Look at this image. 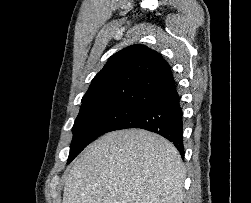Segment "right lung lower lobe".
I'll return each instance as SVG.
<instances>
[{
  "label": "right lung lower lobe",
  "instance_id": "98d812e1",
  "mask_svg": "<svg viewBox=\"0 0 251 203\" xmlns=\"http://www.w3.org/2000/svg\"><path fill=\"white\" fill-rule=\"evenodd\" d=\"M127 128L145 129L165 137L173 143L184 158L183 112L177 92L164 100L140 109L118 124L114 130Z\"/></svg>",
  "mask_w": 251,
  "mask_h": 203
}]
</instances>
